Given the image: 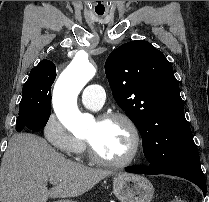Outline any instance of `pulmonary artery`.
Instances as JSON below:
<instances>
[{"label": "pulmonary artery", "mask_w": 209, "mask_h": 202, "mask_svg": "<svg viewBox=\"0 0 209 202\" xmlns=\"http://www.w3.org/2000/svg\"><path fill=\"white\" fill-rule=\"evenodd\" d=\"M82 104L92 110H99L104 105V86L100 84L88 85L81 96Z\"/></svg>", "instance_id": "obj_1"}]
</instances>
